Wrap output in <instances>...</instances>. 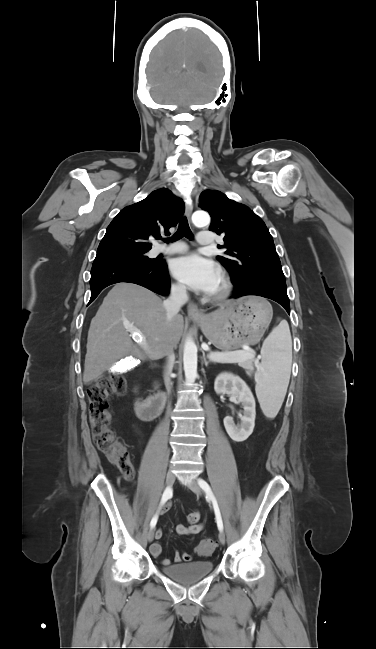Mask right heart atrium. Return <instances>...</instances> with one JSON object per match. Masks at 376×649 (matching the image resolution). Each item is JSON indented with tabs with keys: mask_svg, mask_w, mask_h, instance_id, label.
<instances>
[{
	"mask_svg": "<svg viewBox=\"0 0 376 649\" xmlns=\"http://www.w3.org/2000/svg\"><path fill=\"white\" fill-rule=\"evenodd\" d=\"M172 293L179 298H182L185 296V289L182 285L180 284H173L172 285Z\"/></svg>",
	"mask_w": 376,
	"mask_h": 649,
	"instance_id": "d8ad5b80",
	"label": "right heart atrium"
}]
</instances>
